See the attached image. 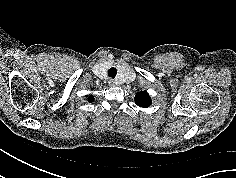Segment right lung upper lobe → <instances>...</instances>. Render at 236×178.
<instances>
[{"mask_svg":"<svg viewBox=\"0 0 236 178\" xmlns=\"http://www.w3.org/2000/svg\"><path fill=\"white\" fill-rule=\"evenodd\" d=\"M94 100V97L92 96V95H90L89 97H88V101L89 102H92Z\"/></svg>","mask_w":236,"mask_h":178,"instance_id":"right-lung-upper-lobe-1","label":"right lung upper lobe"}]
</instances>
